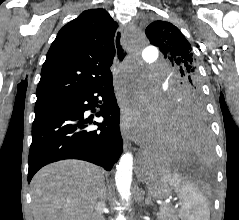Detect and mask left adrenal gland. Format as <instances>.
Masks as SVG:
<instances>
[{"label":"left adrenal gland","instance_id":"left-adrenal-gland-1","mask_svg":"<svg viewBox=\"0 0 239 220\" xmlns=\"http://www.w3.org/2000/svg\"><path fill=\"white\" fill-rule=\"evenodd\" d=\"M145 205H146V206L152 205V201H151V197H150V196H148V197L145 199Z\"/></svg>","mask_w":239,"mask_h":220}]
</instances>
